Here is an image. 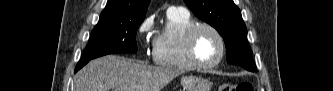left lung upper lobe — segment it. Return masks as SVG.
Here are the masks:
<instances>
[{"label": "left lung upper lobe", "mask_w": 333, "mask_h": 91, "mask_svg": "<svg viewBox=\"0 0 333 91\" xmlns=\"http://www.w3.org/2000/svg\"><path fill=\"white\" fill-rule=\"evenodd\" d=\"M195 16L213 26L224 38L227 61L249 71L252 50L247 42V29L233 0H184Z\"/></svg>", "instance_id": "obj_1"}]
</instances>
